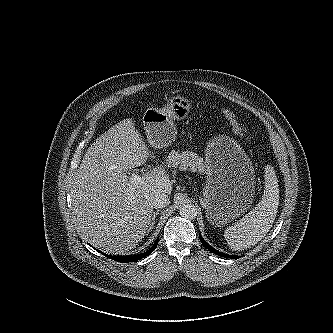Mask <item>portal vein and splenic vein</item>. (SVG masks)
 <instances>
[{
	"mask_svg": "<svg viewBox=\"0 0 333 333\" xmlns=\"http://www.w3.org/2000/svg\"><path fill=\"white\" fill-rule=\"evenodd\" d=\"M140 180H141V177L138 176V175H135V174H133L130 177V181H131L132 184H137Z\"/></svg>",
	"mask_w": 333,
	"mask_h": 333,
	"instance_id": "portal-vein-and-splenic-vein-1",
	"label": "portal vein and splenic vein"
}]
</instances>
